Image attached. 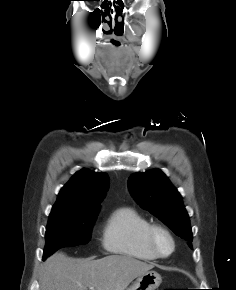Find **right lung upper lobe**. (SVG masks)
<instances>
[{"label":"right lung upper lobe","instance_id":"right-lung-upper-lobe-1","mask_svg":"<svg viewBox=\"0 0 236 290\" xmlns=\"http://www.w3.org/2000/svg\"><path fill=\"white\" fill-rule=\"evenodd\" d=\"M109 186L106 173L87 169L77 172L61 189L50 215H85L98 213L99 203Z\"/></svg>","mask_w":236,"mask_h":290}]
</instances>
